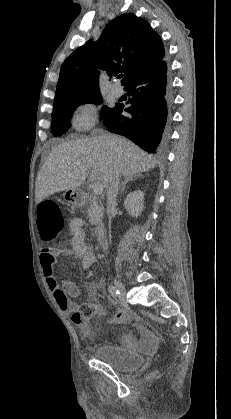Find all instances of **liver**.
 Instances as JSON below:
<instances>
[{
  "label": "liver",
  "instance_id": "obj_1",
  "mask_svg": "<svg viewBox=\"0 0 231 419\" xmlns=\"http://www.w3.org/2000/svg\"><path fill=\"white\" fill-rule=\"evenodd\" d=\"M156 159L124 137L100 134L63 142L52 149L35 184L37 204L55 192L68 191L89 181L106 188L114 170L129 177L149 171Z\"/></svg>",
  "mask_w": 231,
  "mask_h": 419
}]
</instances>
